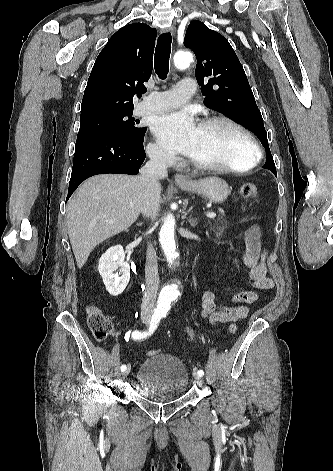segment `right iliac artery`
Segmentation results:
<instances>
[{"label": "right iliac artery", "mask_w": 333, "mask_h": 471, "mask_svg": "<svg viewBox=\"0 0 333 471\" xmlns=\"http://www.w3.org/2000/svg\"><path fill=\"white\" fill-rule=\"evenodd\" d=\"M160 319H161V313L160 312H155L152 315L148 331L140 332L138 330H135L132 333V338L134 340H137V339H143V338H146L147 336H150L156 330V328H157V326L160 322ZM129 335H130V332H129ZM126 368H127L126 365H122L121 366V371H125Z\"/></svg>", "instance_id": "82829eb1"}]
</instances>
